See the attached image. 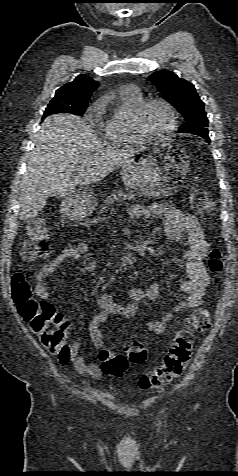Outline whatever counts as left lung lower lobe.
I'll list each match as a JSON object with an SVG mask.
<instances>
[{"instance_id": "0a47b994", "label": "left lung lower lobe", "mask_w": 238, "mask_h": 476, "mask_svg": "<svg viewBox=\"0 0 238 476\" xmlns=\"http://www.w3.org/2000/svg\"><path fill=\"white\" fill-rule=\"evenodd\" d=\"M203 134H198V135L204 137L205 139H207L208 142H210V138H209L208 134L207 133H203Z\"/></svg>"}]
</instances>
